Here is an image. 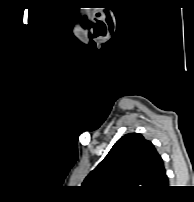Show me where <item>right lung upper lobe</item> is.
<instances>
[{
	"label": "right lung upper lobe",
	"mask_w": 194,
	"mask_h": 202,
	"mask_svg": "<svg viewBox=\"0 0 194 202\" xmlns=\"http://www.w3.org/2000/svg\"><path fill=\"white\" fill-rule=\"evenodd\" d=\"M161 156L141 134L120 138L104 160L86 177L83 186L104 196L148 197L167 188Z\"/></svg>",
	"instance_id": "obj_1"
}]
</instances>
